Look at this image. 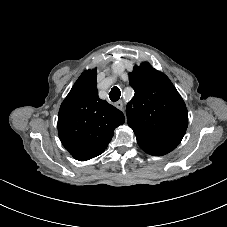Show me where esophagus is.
<instances>
[{
    "mask_svg": "<svg viewBox=\"0 0 227 227\" xmlns=\"http://www.w3.org/2000/svg\"><path fill=\"white\" fill-rule=\"evenodd\" d=\"M115 107L118 108L119 110H122L123 109V103L122 101H117L115 102Z\"/></svg>",
    "mask_w": 227,
    "mask_h": 227,
    "instance_id": "obj_1",
    "label": "esophagus"
}]
</instances>
